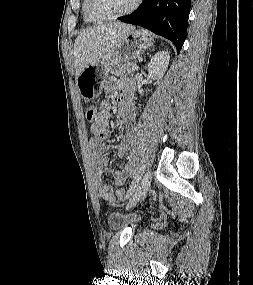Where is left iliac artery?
Listing matches in <instances>:
<instances>
[{
	"label": "left iliac artery",
	"instance_id": "1",
	"mask_svg": "<svg viewBox=\"0 0 253 285\" xmlns=\"http://www.w3.org/2000/svg\"><path fill=\"white\" fill-rule=\"evenodd\" d=\"M144 168H145L144 165H142L139 168L138 172L136 173V175H135V177H134V179H133V181H132V183H131L128 191H127L126 198H129L134 193V191H135V189H136V187H137V185H138V183L142 177V174L144 172Z\"/></svg>",
	"mask_w": 253,
	"mask_h": 285
}]
</instances>
